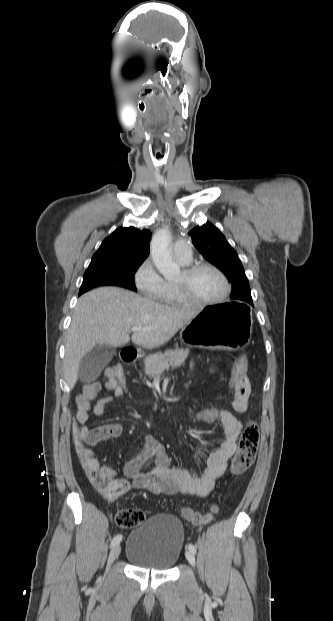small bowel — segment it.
Listing matches in <instances>:
<instances>
[{
    "instance_id": "small-bowel-1",
    "label": "small bowel",
    "mask_w": 333,
    "mask_h": 621,
    "mask_svg": "<svg viewBox=\"0 0 333 621\" xmlns=\"http://www.w3.org/2000/svg\"><path fill=\"white\" fill-rule=\"evenodd\" d=\"M105 386L112 394L96 399L93 411L98 416L105 413L109 403L124 394L122 387L112 377H108ZM100 390L99 382H91L84 385L81 393L76 396V419L82 425L80 433L88 445H96L122 435L119 423H107L92 429L86 425L91 401L97 397ZM250 393V384L246 376L233 389L231 405L234 412L244 413L248 409ZM219 423L223 428V441L209 454L201 474L196 475L188 469L171 467V460L163 445L155 437L147 436L142 451L124 465V472L132 479V483L118 478L113 470L105 468L115 487V492L108 499L116 500L131 488L146 489L155 494H188L199 497L209 495L216 481L225 473L228 461L236 453L237 438L242 430V422L228 409H220ZM152 457L157 458L156 467L150 473H140L139 470Z\"/></svg>"
}]
</instances>
